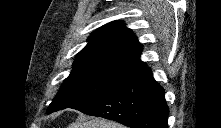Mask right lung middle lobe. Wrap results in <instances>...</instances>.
<instances>
[{"instance_id": "obj_1", "label": "right lung middle lobe", "mask_w": 221, "mask_h": 128, "mask_svg": "<svg viewBox=\"0 0 221 128\" xmlns=\"http://www.w3.org/2000/svg\"><path fill=\"white\" fill-rule=\"evenodd\" d=\"M125 76L109 74L95 69L72 70L63 82L47 114L95 99L121 82Z\"/></svg>"}]
</instances>
